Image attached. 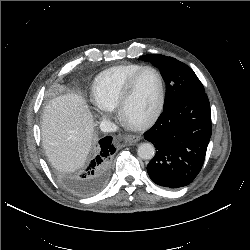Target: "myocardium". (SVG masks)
<instances>
[{
    "instance_id": "myocardium-1",
    "label": "myocardium",
    "mask_w": 250,
    "mask_h": 250,
    "mask_svg": "<svg viewBox=\"0 0 250 250\" xmlns=\"http://www.w3.org/2000/svg\"><path fill=\"white\" fill-rule=\"evenodd\" d=\"M146 70H150L155 73V75L158 78L159 82V93H158V98L157 101L151 110V112L144 117L142 120L137 121V122H129L126 120L124 116V108L125 105L130 98V95L132 93V89L134 87V84L137 80V78L140 76V74ZM164 101H165V83L162 74L158 69H156L153 66H143L140 68L138 71H136L130 79L127 81L125 86L122 89V92L118 98L117 104H116V110L118 113L119 118L126 123L130 128L133 129H143L151 125L153 122L156 121V119L159 117L163 106H164Z\"/></svg>"
}]
</instances>
